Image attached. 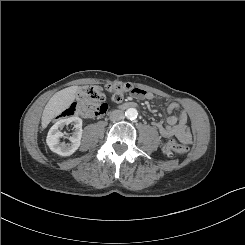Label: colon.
<instances>
[{"mask_svg":"<svg viewBox=\"0 0 245 245\" xmlns=\"http://www.w3.org/2000/svg\"><path fill=\"white\" fill-rule=\"evenodd\" d=\"M114 102H121L129 94L138 93L139 89H133L129 85L113 83L106 86ZM107 111L106 95L102 87L97 85L82 86L74 102H72L60 115L59 118L82 116L85 118H96ZM186 143H179L174 139L167 141L163 150L168 155H184L188 152Z\"/></svg>","mask_w":245,"mask_h":245,"instance_id":"colon-1","label":"colon"}]
</instances>
